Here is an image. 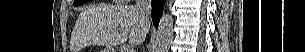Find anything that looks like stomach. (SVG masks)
Here are the masks:
<instances>
[{
    "label": "stomach",
    "mask_w": 305,
    "mask_h": 52,
    "mask_svg": "<svg viewBox=\"0 0 305 52\" xmlns=\"http://www.w3.org/2000/svg\"><path fill=\"white\" fill-rule=\"evenodd\" d=\"M100 52H113V51H110V50H104V51H100Z\"/></svg>",
    "instance_id": "obj_1"
}]
</instances>
